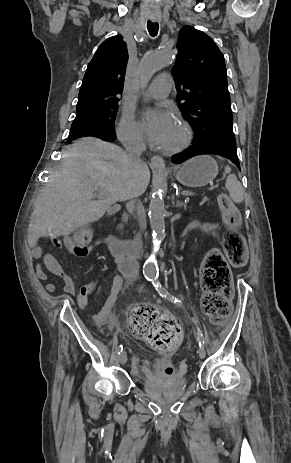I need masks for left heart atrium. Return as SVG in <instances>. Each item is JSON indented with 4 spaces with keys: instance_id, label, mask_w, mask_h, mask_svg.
<instances>
[{
    "instance_id": "obj_1",
    "label": "left heart atrium",
    "mask_w": 291,
    "mask_h": 463,
    "mask_svg": "<svg viewBox=\"0 0 291 463\" xmlns=\"http://www.w3.org/2000/svg\"><path fill=\"white\" fill-rule=\"evenodd\" d=\"M177 123L174 116L161 109H149L143 115V126L151 144L163 147Z\"/></svg>"
}]
</instances>
